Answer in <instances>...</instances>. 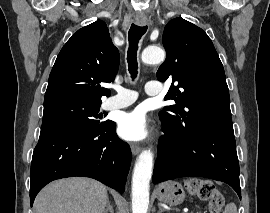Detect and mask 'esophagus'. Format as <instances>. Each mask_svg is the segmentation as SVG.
I'll return each mask as SVG.
<instances>
[{
  "mask_svg": "<svg viewBox=\"0 0 270 213\" xmlns=\"http://www.w3.org/2000/svg\"><path fill=\"white\" fill-rule=\"evenodd\" d=\"M135 23L139 26H145L147 24V18L146 17H136ZM141 148L137 144L131 145V151L133 155H137L140 152Z\"/></svg>",
  "mask_w": 270,
  "mask_h": 213,
  "instance_id": "obj_1",
  "label": "esophagus"
}]
</instances>
